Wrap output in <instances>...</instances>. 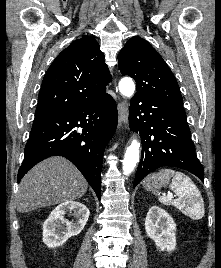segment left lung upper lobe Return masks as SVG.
Returning <instances> with one entry per match:
<instances>
[{
    "instance_id": "1",
    "label": "left lung upper lobe",
    "mask_w": 221,
    "mask_h": 268,
    "mask_svg": "<svg viewBox=\"0 0 221 268\" xmlns=\"http://www.w3.org/2000/svg\"><path fill=\"white\" fill-rule=\"evenodd\" d=\"M118 60L121 73L136 81L135 95L183 103L174 74L148 41L132 37L120 51Z\"/></svg>"
}]
</instances>
